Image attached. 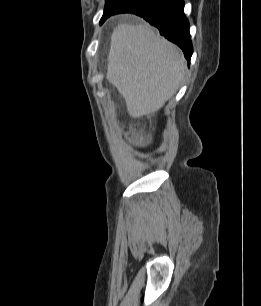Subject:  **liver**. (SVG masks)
Instances as JSON below:
<instances>
[{
    "mask_svg": "<svg viewBox=\"0 0 261 306\" xmlns=\"http://www.w3.org/2000/svg\"><path fill=\"white\" fill-rule=\"evenodd\" d=\"M186 68L178 47L146 24H120L111 35L106 78L133 118L154 113L170 100Z\"/></svg>",
    "mask_w": 261,
    "mask_h": 306,
    "instance_id": "6515ba94",
    "label": "liver"
}]
</instances>
